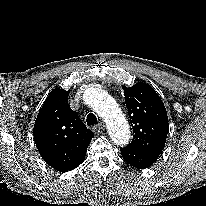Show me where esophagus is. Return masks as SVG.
I'll return each mask as SVG.
<instances>
[{"label": "esophagus", "mask_w": 206, "mask_h": 206, "mask_svg": "<svg viewBox=\"0 0 206 206\" xmlns=\"http://www.w3.org/2000/svg\"><path fill=\"white\" fill-rule=\"evenodd\" d=\"M104 127H105V125H104L103 123H100V124H98V125H94V126L92 127V131H93L94 133H97V132H100L101 130H103Z\"/></svg>", "instance_id": "obj_1"}]
</instances>
